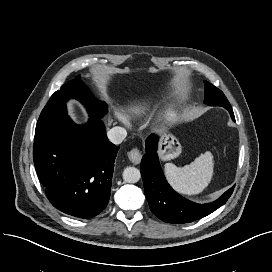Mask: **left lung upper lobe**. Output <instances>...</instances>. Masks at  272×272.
I'll return each mask as SVG.
<instances>
[{
    "mask_svg": "<svg viewBox=\"0 0 272 272\" xmlns=\"http://www.w3.org/2000/svg\"><path fill=\"white\" fill-rule=\"evenodd\" d=\"M205 84V103L210 106H222L224 108L232 109L229 101L221 90L216 88L211 83L204 81Z\"/></svg>",
    "mask_w": 272,
    "mask_h": 272,
    "instance_id": "obj_1",
    "label": "left lung upper lobe"
}]
</instances>
